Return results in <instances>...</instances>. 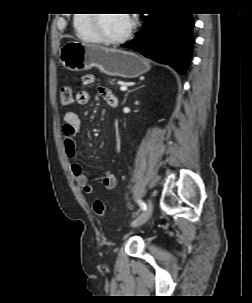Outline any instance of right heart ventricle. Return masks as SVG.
I'll return each instance as SVG.
<instances>
[{"instance_id": "1", "label": "right heart ventricle", "mask_w": 252, "mask_h": 303, "mask_svg": "<svg viewBox=\"0 0 252 303\" xmlns=\"http://www.w3.org/2000/svg\"><path fill=\"white\" fill-rule=\"evenodd\" d=\"M74 26L78 34L83 38L100 40L93 25L92 14H78L74 19Z\"/></svg>"}]
</instances>
